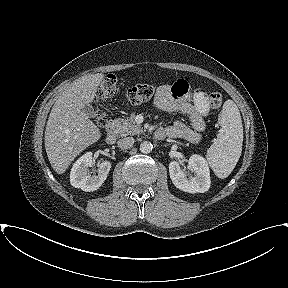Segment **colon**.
<instances>
[{"instance_id": "obj_1", "label": "colon", "mask_w": 288, "mask_h": 288, "mask_svg": "<svg viewBox=\"0 0 288 288\" xmlns=\"http://www.w3.org/2000/svg\"><path fill=\"white\" fill-rule=\"evenodd\" d=\"M120 91L119 82L114 75H108L98 88L96 98L98 101L107 100ZM156 92V87L151 84H138L128 88L124 97L127 104L138 105L152 99ZM222 94L214 91L209 96V103L213 109H219L222 105ZM97 121L100 126L105 124V118L101 112L97 114Z\"/></svg>"}]
</instances>
